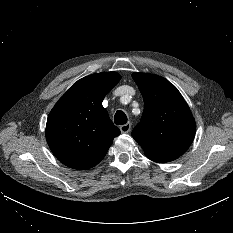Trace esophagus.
Instances as JSON below:
<instances>
[{
  "instance_id": "obj_1",
  "label": "esophagus",
  "mask_w": 233,
  "mask_h": 233,
  "mask_svg": "<svg viewBox=\"0 0 233 233\" xmlns=\"http://www.w3.org/2000/svg\"><path fill=\"white\" fill-rule=\"evenodd\" d=\"M130 130H131V123L130 122L120 126V131L122 133H128V132H130Z\"/></svg>"
}]
</instances>
